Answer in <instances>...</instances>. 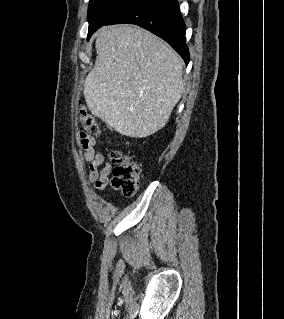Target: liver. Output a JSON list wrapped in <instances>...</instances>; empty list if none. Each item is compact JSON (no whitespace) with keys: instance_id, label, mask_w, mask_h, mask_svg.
I'll return each instance as SVG.
<instances>
[{"instance_id":"6515ba94","label":"liver","mask_w":284,"mask_h":319,"mask_svg":"<svg viewBox=\"0 0 284 319\" xmlns=\"http://www.w3.org/2000/svg\"><path fill=\"white\" fill-rule=\"evenodd\" d=\"M95 36L96 62L83 90L91 113L129 137L163 128L183 93L182 59L141 28L104 26Z\"/></svg>"}]
</instances>
